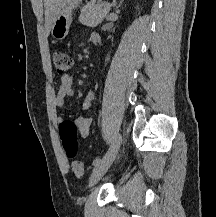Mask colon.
I'll return each instance as SVG.
<instances>
[{"instance_id": "1", "label": "colon", "mask_w": 216, "mask_h": 217, "mask_svg": "<svg viewBox=\"0 0 216 217\" xmlns=\"http://www.w3.org/2000/svg\"><path fill=\"white\" fill-rule=\"evenodd\" d=\"M53 64L58 74H64L71 68L72 59L67 52L57 50L53 53ZM60 137L66 155L74 157L78 148L75 123L64 121L60 128ZM72 171L77 177H82L85 174V166L82 162L75 161L72 163Z\"/></svg>"}]
</instances>
